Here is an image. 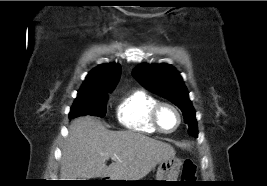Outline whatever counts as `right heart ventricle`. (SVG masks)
Segmentation results:
<instances>
[{
    "label": "right heart ventricle",
    "mask_w": 267,
    "mask_h": 186,
    "mask_svg": "<svg viewBox=\"0 0 267 186\" xmlns=\"http://www.w3.org/2000/svg\"><path fill=\"white\" fill-rule=\"evenodd\" d=\"M157 102L159 101L154 96L143 90L133 91L117 107L116 114L119 124L133 132L157 133L150 121L151 109Z\"/></svg>",
    "instance_id": "right-heart-ventricle-1"
}]
</instances>
